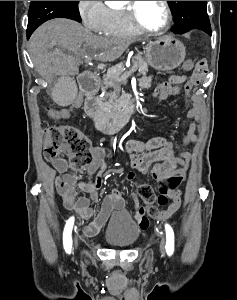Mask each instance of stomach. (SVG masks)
<instances>
[{
	"instance_id": "1",
	"label": "stomach",
	"mask_w": 237,
	"mask_h": 300,
	"mask_svg": "<svg viewBox=\"0 0 237 300\" xmlns=\"http://www.w3.org/2000/svg\"><path fill=\"white\" fill-rule=\"evenodd\" d=\"M186 57V47L183 43L165 35L147 45L145 59L157 71H173L183 63Z\"/></svg>"
}]
</instances>
